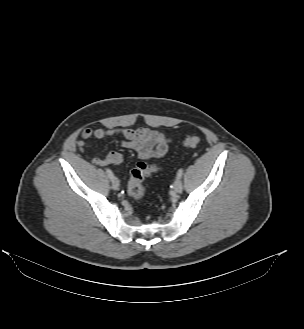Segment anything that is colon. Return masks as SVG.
<instances>
[{
	"label": "colon",
	"mask_w": 304,
	"mask_h": 329,
	"mask_svg": "<svg viewBox=\"0 0 304 329\" xmlns=\"http://www.w3.org/2000/svg\"><path fill=\"white\" fill-rule=\"evenodd\" d=\"M201 141L202 139L198 135H188L183 139L182 145L186 148H193L198 146ZM160 171L161 168L155 163L138 162L130 173L127 189L129 196L137 201L142 200L146 194L144 179Z\"/></svg>",
	"instance_id": "1"
}]
</instances>
